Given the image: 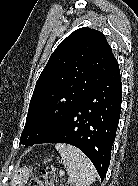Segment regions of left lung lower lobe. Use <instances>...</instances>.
Instances as JSON below:
<instances>
[{"mask_svg":"<svg viewBox=\"0 0 138 186\" xmlns=\"http://www.w3.org/2000/svg\"><path fill=\"white\" fill-rule=\"evenodd\" d=\"M121 101L122 84L117 63L62 123L34 144L67 143L79 148L103 180L110 163Z\"/></svg>","mask_w":138,"mask_h":186,"instance_id":"obj_1","label":"left lung lower lobe"}]
</instances>
